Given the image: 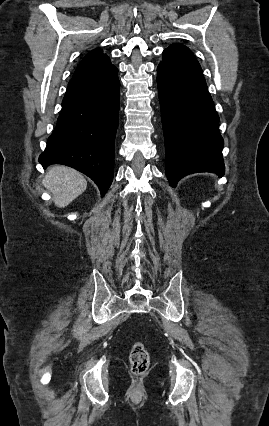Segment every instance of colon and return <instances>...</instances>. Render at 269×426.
Returning <instances> with one entry per match:
<instances>
[{
	"instance_id": "colon-1",
	"label": "colon",
	"mask_w": 269,
	"mask_h": 426,
	"mask_svg": "<svg viewBox=\"0 0 269 426\" xmlns=\"http://www.w3.org/2000/svg\"><path fill=\"white\" fill-rule=\"evenodd\" d=\"M130 361L131 371L134 375L141 376L147 371L150 363V356L142 343L137 342L133 346L130 354Z\"/></svg>"
}]
</instances>
